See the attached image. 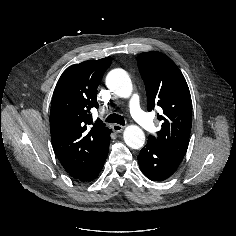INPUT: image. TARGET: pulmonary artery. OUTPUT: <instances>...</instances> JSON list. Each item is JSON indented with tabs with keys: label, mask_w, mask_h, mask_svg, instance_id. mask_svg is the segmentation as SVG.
<instances>
[{
	"label": "pulmonary artery",
	"mask_w": 236,
	"mask_h": 236,
	"mask_svg": "<svg viewBox=\"0 0 236 236\" xmlns=\"http://www.w3.org/2000/svg\"><path fill=\"white\" fill-rule=\"evenodd\" d=\"M129 110L132 117L144 128L149 131L154 130V124L151 118L147 113H145L139 102V97L136 94H133L129 101Z\"/></svg>",
	"instance_id": "e3ab8cb5"
}]
</instances>
